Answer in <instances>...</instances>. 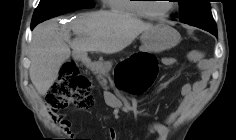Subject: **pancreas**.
I'll return each instance as SVG.
<instances>
[{
	"label": "pancreas",
	"mask_w": 236,
	"mask_h": 140,
	"mask_svg": "<svg viewBox=\"0 0 236 140\" xmlns=\"http://www.w3.org/2000/svg\"><path fill=\"white\" fill-rule=\"evenodd\" d=\"M112 67L111 62L98 61L92 66V71L97 75L100 82L106 83L105 77L107 76L109 70Z\"/></svg>",
	"instance_id": "1"
}]
</instances>
